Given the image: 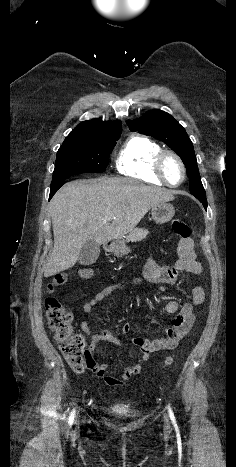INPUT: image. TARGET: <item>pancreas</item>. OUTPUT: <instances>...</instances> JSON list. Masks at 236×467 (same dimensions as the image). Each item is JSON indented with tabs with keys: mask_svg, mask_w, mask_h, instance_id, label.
Returning <instances> with one entry per match:
<instances>
[{
	"mask_svg": "<svg viewBox=\"0 0 236 467\" xmlns=\"http://www.w3.org/2000/svg\"><path fill=\"white\" fill-rule=\"evenodd\" d=\"M148 230L143 229V228H135L133 229L127 236H126V242H137L141 241L146 238L148 234Z\"/></svg>",
	"mask_w": 236,
	"mask_h": 467,
	"instance_id": "obj_1",
	"label": "pancreas"
}]
</instances>
